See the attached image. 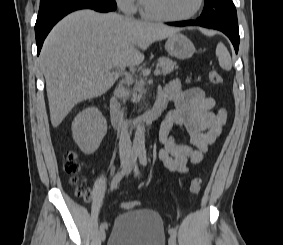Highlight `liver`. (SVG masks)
<instances>
[{"mask_svg":"<svg viewBox=\"0 0 283 245\" xmlns=\"http://www.w3.org/2000/svg\"><path fill=\"white\" fill-rule=\"evenodd\" d=\"M178 29L138 21L116 13L80 10L49 33L39 61L53 127L81 101L108 91L125 68L144 60L140 50Z\"/></svg>","mask_w":283,"mask_h":245,"instance_id":"obj_1","label":"liver"}]
</instances>
